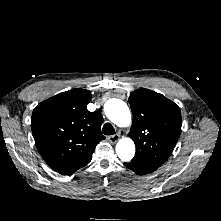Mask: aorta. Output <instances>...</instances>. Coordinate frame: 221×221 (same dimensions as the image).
I'll list each match as a JSON object with an SVG mask.
<instances>
[{
	"label": "aorta",
	"instance_id": "obj_1",
	"mask_svg": "<svg viewBox=\"0 0 221 221\" xmlns=\"http://www.w3.org/2000/svg\"><path fill=\"white\" fill-rule=\"evenodd\" d=\"M105 114L119 127H128L132 121L127 104L120 99H110L105 105ZM116 153L122 161H130L135 155L134 142L127 137L120 139L116 144Z\"/></svg>",
	"mask_w": 221,
	"mask_h": 221
}]
</instances>
